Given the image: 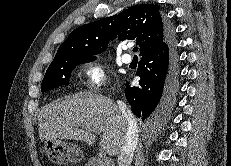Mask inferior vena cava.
<instances>
[{"instance_id": "inferior-vena-cava-1", "label": "inferior vena cava", "mask_w": 231, "mask_h": 166, "mask_svg": "<svg viewBox=\"0 0 231 166\" xmlns=\"http://www.w3.org/2000/svg\"><path fill=\"white\" fill-rule=\"evenodd\" d=\"M117 105L127 121V130L117 159V166H130L138 143L137 122L131 110L124 102L118 100Z\"/></svg>"}]
</instances>
